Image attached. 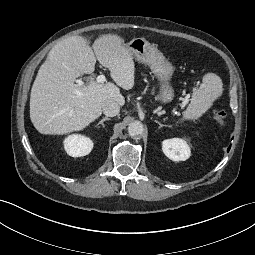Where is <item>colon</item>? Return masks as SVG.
<instances>
[{
	"instance_id": "5ec220e1",
	"label": "colon",
	"mask_w": 255,
	"mask_h": 255,
	"mask_svg": "<svg viewBox=\"0 0 255 255\" xmlns=\"http://www.w3.org/2000/svg\"><path fill=\"white\" fill-rule=\"evenodd\" d=\"M212 114L216 121L223 125L226 121V112L219 106H214L212 109Z\"/></svg>"
}]
</instances>
